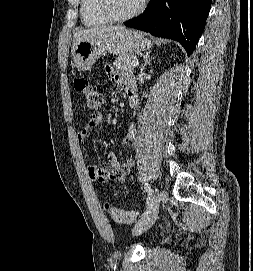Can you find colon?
<instances>
[{"label":"colon","mask_w":253,"mask_h":271,"mask_svg":"<svg viewBox=\"0 0 253 271\" xmlns=\"http://www.w3.org/2000/svg\"><path fill=\"white\" fill-rule=\"evenodd\" d=\"M74 90L85 101L88 108L94 111L99 109L103 101L102 95L88 80L75 78ZM105 208L118 224H131L136 220L137 214L133 210L119 209L110 203H106Z\"/></svg>","instance_id":"colon-1"}]
</instances>
